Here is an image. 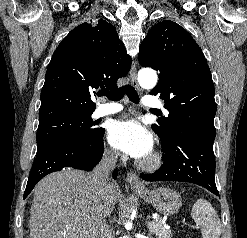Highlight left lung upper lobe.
<instances>
[{
  "instance_id": "5c2ea615",
  "label": "left lung upper lobe",
  "mask_w": 247,
  "mask_h": 238,
  "mask_svg": "<svg viewBox=\"0 0 247 238\" xmlns=\"http://www.w3.org/2000/svg\"><path fill=\"white\" fill-rule=\"evenodd\" d=\"M138 59L143 67L159 72L158 85L150 94L160 95L169 111L152 125L161 143L168 145L185 133L213 144L214 85L204 54L192 36L173 21L159 22L141 43Z\"/></svg>"
}]
</instances>
